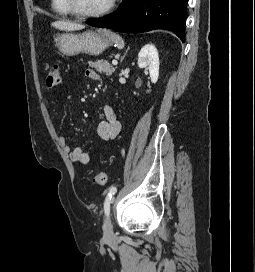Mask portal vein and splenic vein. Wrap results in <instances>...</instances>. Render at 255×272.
I'll return each instance as SVG.
<instances>
[{"label":"portal vein and splenic vein","instance_id":"obj_1","mask_svg":"<svg viewBox=\"0 0 255 272\" xmlns=\"http://www.w3.org/2000/svg\"><path fill=\"white\" fill-rule=\"evenodd\" d=\"M117 63H118V62H117L116 59H113V60H112V64H113V65H117Z\"/></svg>","mask_w":255,"mask_h":272}]
</instances>
